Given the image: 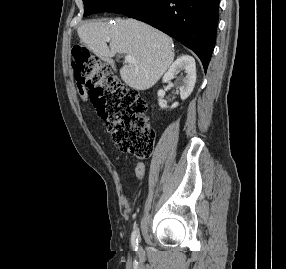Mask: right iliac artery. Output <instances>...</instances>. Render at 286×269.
Returning a JSON list of instances; mask_svg holds the SVG:
<instances>
[{"mask_svg": "<svg viewBox=\"0 0 286 269\" xmlns=\"http://www.w3.org/2000/svg\"><path fill=\"white\" fill-rule=\"evenodd\" d=\"M138 237H139L138 229H134L131 235V243L133 248L136 250L138 249Z\"/></svg>", "mask_w": 286, "mask_h": 269, "instance_id": "obj_1", "label": "right iliac artery"}]
</instances>
